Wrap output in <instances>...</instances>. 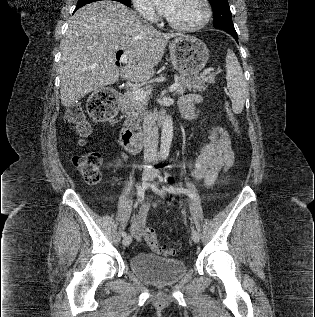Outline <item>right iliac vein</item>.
Wrapping results in <instances>:
<instances>
[{
  "label": "right iliac vein",
  "instance_id": "right-iliac-vein-1",
  "mask_svg": "<svg viewBox=\"0 0 315 317\" xmlns=\"http://www.w3.org/2000/svg\"><path fill=\"white\" fill-rule=\"evenodd\" d=\"M153 178V175L149 172H145L143 174V177H142V185L143 187H148L150 181L152 180ZM132 242V237L130 235L126 236L124 239H123V245L124 246H129Z\"/></svg>",
  "mask_w": 315,
  "mask_h": 317
}]
</instances>
